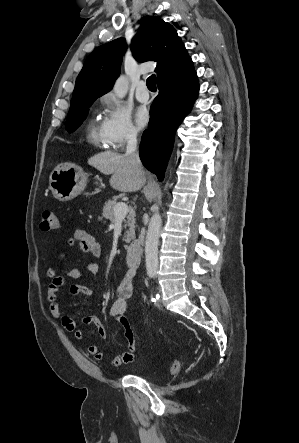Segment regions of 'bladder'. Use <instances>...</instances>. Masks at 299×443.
<instances>
[{"instance_id": "obj_1", "label": "bladder", "mask_w": 299, "mask_h": 443, "mask_svg": "<svg viewBox=\"0 0 299 443\" xmlns=\"http://www.w3.org/2000/svg\"><path fill=\"white\" fill-rule=\"evenodd\" d=\"M134 374L145 379L148 382L156 383L160 380V377L155 372H152L148 369H146L143 366H140L133 370Z\"/></svg>"}]
</instances>
